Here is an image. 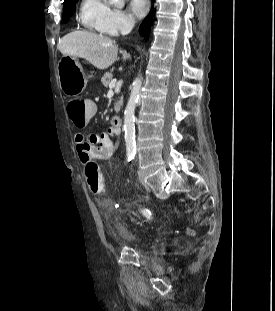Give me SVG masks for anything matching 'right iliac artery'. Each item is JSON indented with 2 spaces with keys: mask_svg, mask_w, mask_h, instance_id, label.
I'll return each instance as SVG.
<instances>
[{
  "mask_svg": "<svg viewBox=\"0 0 275 311\" xmlns=\"http://www.w3.org/2000/svg\"><path fill=\"white\" fill-rule=\"evenodd\" d=\"M127 157H128V161H131L134 158V155L133 154H128Z\"/></svg>",
  "mask_w": 275,
  "mask_h": 311,
  "instance_id": "1",
  "label": "right iliac artery"
}]
</instances>
